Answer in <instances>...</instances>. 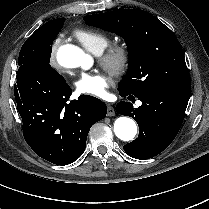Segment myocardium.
Here are the masks:
<instances>
[{
  "label": "myocardium",
  "mask_w": 209,
  "mask_h": 209,
  "mask_svg": "<svg viewBox=\"0 0 209 209\" xmlns=\"http://www.w3.org/2000/svg\"><path fill=\"white\" fill-rule=\"evenodd\" d=\"M130 58L129 48L123 43H114L102 51L101 65L112 75L124 71Z\"/></svg>",
  "instance_id": "f54148a6"
}]
</instances>
